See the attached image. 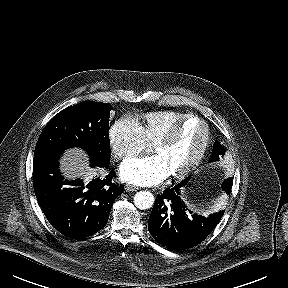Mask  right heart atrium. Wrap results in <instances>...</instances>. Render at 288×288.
Segmentation results:
<instances>
[{
	"instance_id": "1",
	"label": "right heart atrium",
	"mask_w": 288,
	"mask_h": 288,
	"mask_svg": "<svg viewBox=\"0 0 288 288\" xmlns=\"http://www.w3.org/2000/svg\"><path fill=\"white\" fill-rule=\"evenodd\" d=\"M108 139L112 155L117 160L135 157L147 145L136 121L130 118L117 120L109 130Z\"/></svg>"
}]
</instances>
